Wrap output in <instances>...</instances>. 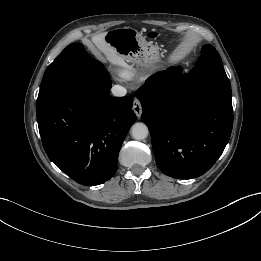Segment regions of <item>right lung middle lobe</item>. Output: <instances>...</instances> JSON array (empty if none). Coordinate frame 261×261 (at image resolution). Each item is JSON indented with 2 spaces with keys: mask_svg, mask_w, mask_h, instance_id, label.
I'll list each match as a JSON object with an SVG mask.
<instances>
[{
  "mask_svg": "<svg viewBox=\"0 0 261 261\" xmlns=\"http://www.w3.org/2000/svg\"><path fill=\"white\" fill-rule=\"evenodd\" d=\"M103 73V65L89 57L81 43L69 45L46 69L36 109L69 84Z\"/></svg>",
  "mask_w": 261,
  "mask_h": 261,
  "instance_id": "dd1d6c3e",
  "label": "right lung middle lobe"
}]
</instances>
